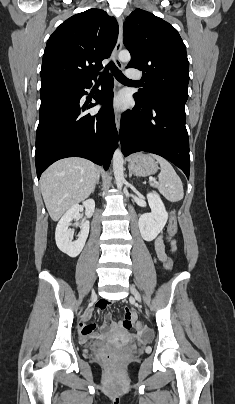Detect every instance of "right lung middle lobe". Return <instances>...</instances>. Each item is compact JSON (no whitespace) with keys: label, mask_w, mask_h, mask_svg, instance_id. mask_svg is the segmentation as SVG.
<instances>
[{"label":"right lung middle lobe","mask_w":235,"mask_h":404,"mask_svg":"<svg viewBox=\"0 0 235 404\" xmlns=\"http://www.w3.org/2000/svg\"><path fill=\"white\" fill-rule=\"evenodd\" d=\"M61 85H62V83H58V82L41 85V92L58 88Z\"/></svg>","instance_id":"dd1d6c3e"}]
</instances>
